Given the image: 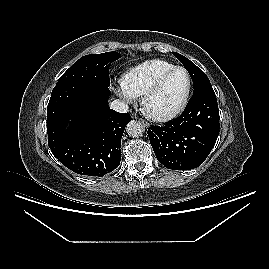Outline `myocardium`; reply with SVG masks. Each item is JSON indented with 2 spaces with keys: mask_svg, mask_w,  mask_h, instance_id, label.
I'll return each mask as SVG.
<instances>
[{
  "mask_svg": "<svg viewBox=\"0 0 269 269\" xmlns=\"http://www.w3.org/2000/svg\"><path fill=\"white\" fill-rule=\"evenodd\" d=\"M183 71L185 72L187 76V88L185 91V94L181 100V102L174 107L173 109L163 112V113H154L150 111L149 109V103L151 99L158 93V91L161 89L165 81L176 71ZM192 90V77L189 73V71L183 67V66H174L173 68L169 69L168 71L164 72L161 76L158 77V79L145 91V93L142 95V109L144 113L152 120L164 122L173 119L178 114H180L184 108L186 107L189 97Z\"/></svg>",
  "mask_w": 269,
  "mask_h": 269,
  "instance_id": "1",
  "label": "myocardium"
}]
</instances>
